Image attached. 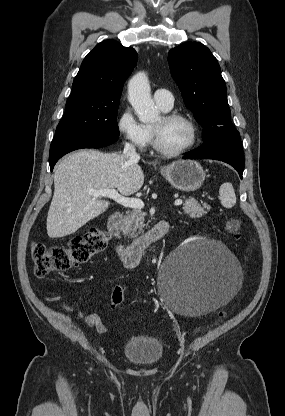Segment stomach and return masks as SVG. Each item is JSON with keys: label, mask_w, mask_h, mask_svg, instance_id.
<instances>
[{"label": "stomach", "mask_w": 285, "mask_h": 416, "mask_svg": "<svg viewBox=\"0 0 285 416\" xmlns=\"http://www.w3.org/2000/svg\"><path fill=\"white\" fill-rule=\"evenodd\" d=\"M160 172L180 192H195L205 180L203 168L194 160H176L161 168Z\"/></svg>", "instance_id": "obj_1"}]
</instances>
